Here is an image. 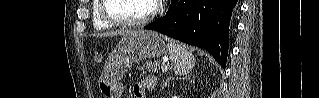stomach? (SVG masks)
I'll list each match as a JSON object with an SVG mask.
<instances>
[{
  "label": "stomach",
  "instance_id": "stomach-1",
  "mask_svg": "<svg viewBox=\"0 0 319 98\" xmlns=\"http://www.w3.org/2000/svg\"><path fill=\"white\" fill-rule=\"evenodd\" d=\"M167 51L164 38L153 31H135L125 35L112 52L102 89L107 98H116L121 90V78L130 67L144 59L163 56Z\"/></svg>",
  "mask_w": 319,
  "mask_h": 98
}]
</instances>
